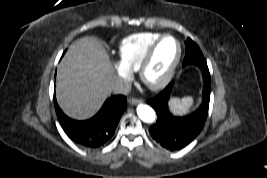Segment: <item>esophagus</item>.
<instances>
[{"instance_id":"1","label":"esophagus","mask_w":267,"mask_h":178,"mask_svg":"<svg viewBox=\"0 0 267 178\" xmlns=\"http://www.w3.org/2000/svg\"><path fill=\"white\" fill-rule=\"evenodd\" d=\"M128 102H129V104H131V105H136V104L141 103L142 101H141L140 99H137V98H130V99L128 100Z\"/></svg>"}]
</instances>
